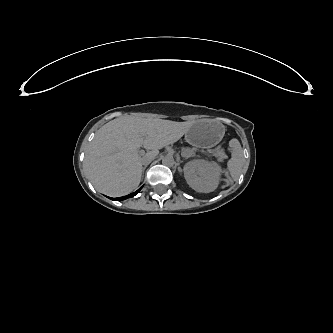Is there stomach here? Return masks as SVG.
Masks as SVG:
<instances>
[{
	"mask_svg": "<svg viewBox=\"0 0 333 333\" xmlns=\"http://www.w3.org/2000/svg\"><path fill=\"white\" fill-rule=\"evenodd\" d=\"M187 141H188V143L189 144H191V145H200L198 142H196L191 136H187Z\"/></svg>",
	"mask_w": 333,
	"mask_h": 333,
	"instance_id": "1",
	"label": "stomach"
}]
</instances>
